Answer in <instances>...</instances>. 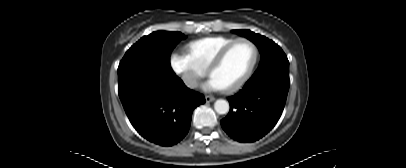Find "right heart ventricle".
I'll list each match as a JSON object with an SVG mask.
<instances>
[{
  "mask_svg": "<svg viewBox=\"0 0 406 168\" xmlns=\"http://www.w3.org/2000/svg\"><path fill=\"white\" fill-rule=\"evenodd\" d=\"M235 38L212 36L193 40L186 45L190 57L203 69H207L214 56Z\"/></svg>",
  "mask_w": 406,
  "mask_h": 168,
  "instance_id": "e07e8e85",
  "label": "right heart ventricle"
}]
</instances>
